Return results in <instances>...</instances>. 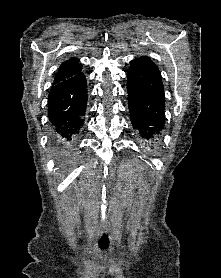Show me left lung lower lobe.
<instances>
[{"mask_svg": "<svg viewBox=\"0 0 221 278\" xmlns=\"http://www.w3.org/2000/svg\"><path fill=\"white\" fill-rule=\"evenodd\" d=\"M127 79L132 125L142 138L155 141L165 123V96L160 71L149 57H140L132 61Z\"/></svg>", "mask_w": 221, "mask_h": 278, "instance_id": "0a47b994", "label": "left lung lower lobe"}]
</instances>
